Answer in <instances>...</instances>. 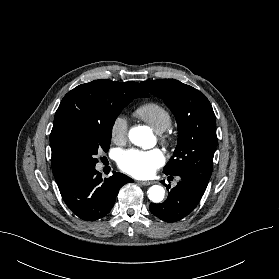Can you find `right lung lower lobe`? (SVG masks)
<instances>
[{
  "mask_svg": "<svg viewBox=\"0 0 279 279\" xmlns=\"http://www.w3.org/2000/svg\"><path fill=\"white\" fill-rule=\"evenodd\" d=\"M133 180L113 172L110 178H102L95 167L80 169L60 189L68 208L80 219L95 221L107 215L114 206L119 189Z\"/></svg>",
  "mask_w": 279,
  "mask_h": 279,
  "instance_id": "98d812e1",
  "label": "right lung lower lobe"
}]
</instances>
